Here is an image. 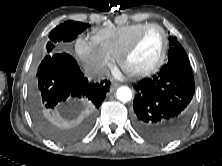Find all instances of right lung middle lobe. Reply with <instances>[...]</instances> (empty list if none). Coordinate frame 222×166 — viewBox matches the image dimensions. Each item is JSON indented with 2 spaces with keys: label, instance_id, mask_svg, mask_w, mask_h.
Returning <instances> with one entry per match:
<instances>
[{
  "label": "right lung middle lobe",
  "instance_id": "1",
  "mask_svg": "<svg viewBox=\"0 0 222 166\" xmlns=\"http://www.w3.org/2000/svg\"><path fill=\"white\" fill-rule=\"evenodd\" d=\"M88 27V24L66 21L63 24L54 28L49 34V40L46 45L47 53L54 51V48L59 43L70 42L74 40L78 34ZM32 117L37 128L44 135L59 141L65 142L69 139L65 136V132L54 122V117L45 114L41 109L32 110Z\"/></svg>",
  "mask_w": 222,
  "mask_h": 166
}]
</instances>
